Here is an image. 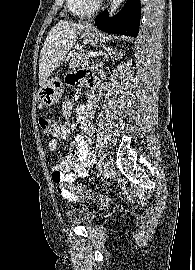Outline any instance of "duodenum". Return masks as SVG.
I'll list each match as a JSON object with an SVG mask.
<instances>
[{
	"instance_id": "410a0bca",
	"label": "duodenum",
	"mask_w": 195,
	"mask_h": 270,
	"mask_svg": "<svg viewBox=\"0 0 195 270\" xmlns=\"http://www.w3.org/2000/svg\"><path fill=\"white\" fill-rule=\"evenodd\" d=\"M90 97H91V92H89V93L87 94V99H90Z\"/></svg>"
}]
</instances>
